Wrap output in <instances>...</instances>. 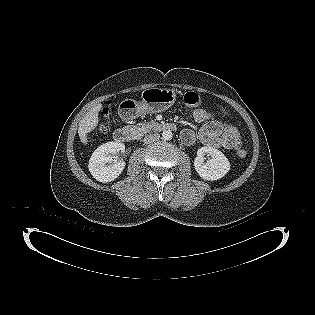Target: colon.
<instances>
[{
    "label": "colon",
    "mask_w": 315,
    "mask_h": 315,
    "mask_svg": "<svg viewBox=\"0 0 315 315\" xmlns=\"http://www.w3.org/2000/svg\"><path fill=\"white\" fill-rule=\"evenodd\" d=\"M182 104L186 107H197V106H200L202 104V99L195 92H187L184 94V96L182 98ZM103 114H104V121L100 125V130L104 132L107 130V127H108L106 120L109 116V110L107 108H105L103 111ZM237 154L243 160H246L249 157L248 152L244 149L238 150Z\"/></svg>",
    "instance_id": "colon-1"
}]
</instances>
